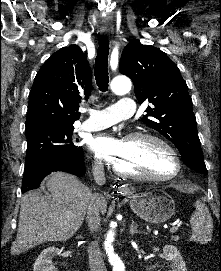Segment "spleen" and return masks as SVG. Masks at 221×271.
Masks as SVG:
<instances>
[{"instance_id":"3e777b00","label":"spleen","mask_w":221,"mask_h":271,"mask_svg":"<svg viewBox=\"0 0 221 271\" xmlns=\"http://www.w3.org/2000/svg\"><path fill=\"white\" fill-rule=\"evenodd\" d=\"M195 211L192 213L189 221L192 227V241H199V243H208L212 239L213 219L211 213L203 203V201H196Z\"/></svg>"}]
</instances>
